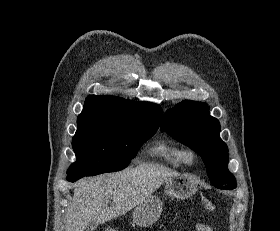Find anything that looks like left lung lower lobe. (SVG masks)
I'll list each match as a JSON object with an SVG mask.
<instances>
[{
	"mask_svg": "<svg viewBox=\"0 0 280 231\" xmlns=\"http://www.w3.org/2000/svg\"><path fill=\"white\" fill-rule=\"evenodd\" d=\"M234 188H236V186L231 187L230 185H226V186H223L221 189L232 190Z\"/></svg>",
	"mask_w": 280,
	"mask_h": 231,
	"instance_id": "left-lung-lower-lobe-1",
	"label": "left lung lower lobe"
}]
</instances>
